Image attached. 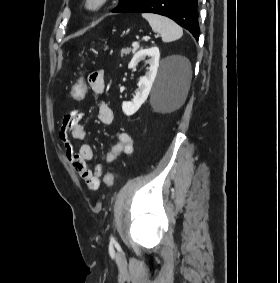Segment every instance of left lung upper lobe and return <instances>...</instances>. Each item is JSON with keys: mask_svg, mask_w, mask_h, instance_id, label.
Returning <instances> with one entry per match:
<instances>
[{"mask_svg": "<svg viewBox=\"0 0 280 283\" xmlns=\"http://www.w3.org/2000/svg\"><path fill=\"white\" fill-rule=\"evenodd\" d=\"M137 0H119V4L116 8L112 10V12H123L132 4H134Z\"/></svg>", "mask_w": 280, "mask_h": 283, "instance_id": "1", "label": "left lung upper lobe"}]
</instances>
